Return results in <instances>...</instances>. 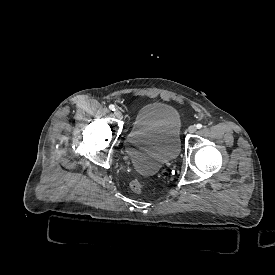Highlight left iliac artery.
I'll use <instances>...</instances> for the list:
<instances>
[{
    "mask_svg": "<svg viewBox=\"0 0 275 275\" xmlns=\"http://www.w3.org/2000/svg\"><path fill=\"white\" fill-rule=\"evenodd\" d=\"M196 127H197L198 129H200V128H202V124H197Z\"/></svg>",
    "mask_w": 275,
    "mask_h": 275,
    "instance_id": "left-iliac-artery-1",
    "label": "left iliac artery"
}]
</instances>
